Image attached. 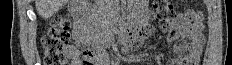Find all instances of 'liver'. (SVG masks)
Wrapping results in <instances>:
<instances>
[{"mask_svg": "<svg viewBox=\"0 0 232 65\" xmlns=\"http://www.w3.org/2000/svg\"><path fill=\"white\" fill-rule=\"evenodd\" d=\"M68 0H35V6L38 14L44 18L48 19L57 13Z\"/></svg>", "mask_w": 232, "mask_h": 65, "instance_id": "6515ba94", "label": "liver"}]
</instances>
